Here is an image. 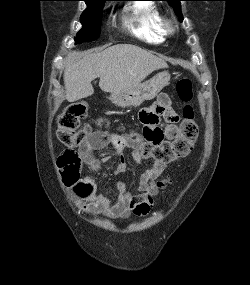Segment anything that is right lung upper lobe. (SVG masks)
I'll return each mask as SVG.
<instances>
[{
    "mask_svg": "<svg viewBox=\"0 0 250 285\" xmlns=\"http://www.w3.org/2000/svg\"><path fill=\"white\" fill-rule=\"evenodd\" d=\"M85 1H103V0H85ZM109 1V0H106Z\"/></svg>",
    "mask_w": 250,
    "mask_h": 285,
    "instance_id": "right-lung-upper-lobe-1",
    "label": "right lung upper lobe"
}]
</instances>
